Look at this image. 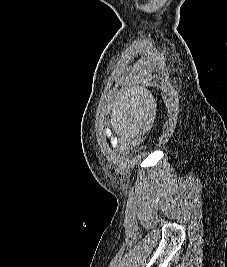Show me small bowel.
<instances>
[{
    "instance_id": "small-bowel-1",
    "label": "small bowel",
    "mask_w": 227,
    "mask_h": 267,
    "mask_svg": "<svg viewBox=\"0 0 227 267\" xmlns=\"http://www.w3.org/2000/svg\"><path fill=\"white\" fill-rule=\"evenodd\" d=\"M112 145H113L114 147H116V146L118 145L117 141H116V140L112 141Z\"/></svg>"
}]
</instances>
